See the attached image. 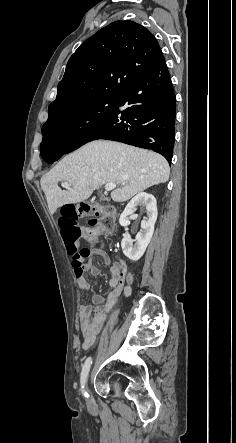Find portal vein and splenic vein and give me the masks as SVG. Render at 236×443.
<instances>
[{
  "label": "portal vein and splenic vein",
  "mask_w": 236,
  "mask_h": 443,
  "mask_svg": "<svg viewBox=\"0 0 236 443\" xmlns=\"http://www.w3.org/2000/svg\"><path fill=\"white\" fill-rule=\"evenodd\" d=\"M62 186L65 187V188H70V184L68 182H62ZM115 188H116V184H114V183H108V184L105 185V190L106 191H111V190H113Z\"/></svg>",
  "instance_id": "obj_1"
}]
</instances>
